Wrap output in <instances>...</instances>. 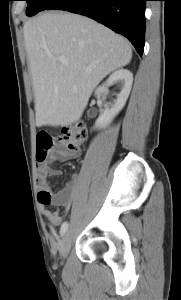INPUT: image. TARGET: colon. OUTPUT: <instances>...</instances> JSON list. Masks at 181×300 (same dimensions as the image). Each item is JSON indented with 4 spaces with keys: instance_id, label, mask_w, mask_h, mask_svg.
Listing matches in <instances>:
<instances>
[{
    "instance_id": "colon-1",
    "label": "colon",
    "mask_w": 181,
    "mask_h": 300,
    "mask_svg": "<svg viewBox=\"0 0 181 300\" xmlns=\"http://www.w3.org/2000/svg\"><path fill=\"white\" fill-rule=\"evenodd\" d=\"M87 138V129L83 123H74L65 126L61 136L56 139L58 144V154L66 157L78 153L84 146ZM54 139L47 133H39L36 139L37 160L43 162Z\"/></svg>"
}]
</instances>
